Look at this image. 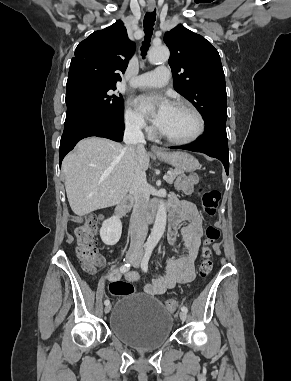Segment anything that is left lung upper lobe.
I'll list each match as a JSON object with an SVG mask.
<instances>
[{
    "instance_id": "1",
    "label": "left lung upper lobe",
    "mask_w": 291,
    "mask_h": 381,
    "mask_svg": "<svg viewBox=\"0 0 291 381\" xmlns=\"http://www.w3.org/2000/svg\"><path fill=\"white\" fill-rule=\"evenodd\" d=\"M164 42L175 90L201 113L205 128L226 127V84L218 51L183 25L166 32Z\"/></svg>"
}]
</instances>
